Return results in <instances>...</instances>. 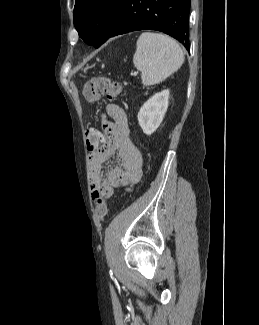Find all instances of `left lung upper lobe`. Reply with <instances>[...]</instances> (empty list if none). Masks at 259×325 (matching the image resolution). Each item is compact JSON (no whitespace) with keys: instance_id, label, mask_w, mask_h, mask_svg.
Masks as SVG:
<instances>
[{"instance_id":"5c2ea615","label":"left lung upper lobe","mask_w":259,"mask_h":325,"mask_svg":"<svg viewBox=\"0 0 259 325\" xmlns=\"http://www.w3.org/2000/svg\"><path fill=\"white\" fill-rule=\"evenodd\" d=\"M123 0H75L74 26L86 43L98 48L105 39Z\"/></svg>"}]
</instances>
